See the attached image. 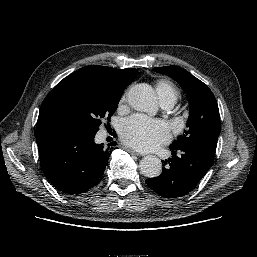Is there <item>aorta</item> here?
I'll use <instances>...</instances> for the list:
<instances>
[{
  "label": "aorta",
  "mask_w": 257,
  "mask_h": 257,
  "mask_svg": "<svg viewBox=\"0 0 257 257\" xmlns=\"http://www.w3.org/2000/svg\"><path fill=\"white\" fill-rule=\"evenodd\" d=\"M129 105L137 111L153 113L157 109V99L154 90L147 84H137L127 93ZM162 171L160 159L148 155L140 161V172L148 178L157 177Z\"/></svg>",
  "instance_id": "obj_1"
}]
</instances>
